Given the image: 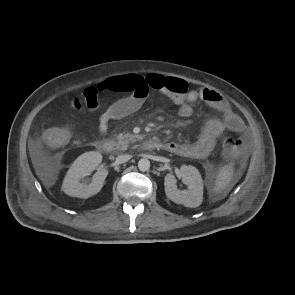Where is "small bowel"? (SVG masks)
I'll use <instances>...</instances> for the list:
<instances>
[{
    "label": "small bowel",
    "instance_id": "obj_1",
    "mask_svg": "<svg viewBox=\"0 0 295 295\" xmlns=\"http://www.w3.org/2000/svg\"><path fill=\"white\" fill-rule=\"evenodd\" d=\"M95 90L104 92H127L128 96L111 104L99 117V131L107 133L109 123L127 117L138 111L145 102L150 90H156L178 107V115L189 118L193 113L192 105L203 101L221 113L220 119H210L204 126L200 137L192 143L165 142L163 149L176 155L194 159L206 158L214 149L216 142L224 131L241 133L243 120L233 111L220 94L209 89H189L182 79L165 77L158 74L146 76L125 75L112 77L98 82Z\"/></svg>",
    "mask_w": 295,
    "mask_h": 295
}]
</instances>
